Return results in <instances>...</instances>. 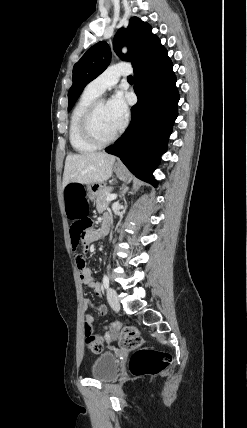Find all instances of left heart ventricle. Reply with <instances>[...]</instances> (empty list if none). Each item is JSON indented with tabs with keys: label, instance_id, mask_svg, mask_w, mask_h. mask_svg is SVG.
Returning <instances> with one entry per match:
<instances>
[{
	"label": "left heart ventricle",
	"instance_id": "1",
	"mask_svg": "<svg viewBox=\"0 0 247 428\" xmlns=\"http://www.w3.org/2000/svg\"><path fill=\"white\" fill-rule=\"evenodd\" d=\"M93 129L101 139L111 137L118 129L107 111L106 103H102L98 107L93 117Z\"/></svg>",
	"mask_w": 247,
	"mask_h": 428
}]
</instances>
